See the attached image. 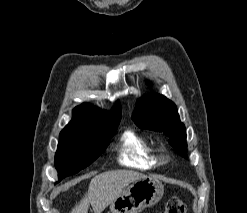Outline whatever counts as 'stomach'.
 <instances>
[{
	"mask_svg": "<svg viewBox=\"0 0 247 213\" xmlns=\"http://www.w3.org/2000/svg\"><path fill=\"white\" fill-rule=\"evenodd\" d=\"M164 194L163 184L156 178L145 177L126 186L111 203V213H140L157 204Z\"/></svg>",
	"mask_w": 247,
	"mask_h": 213,
	"instance_id": "0dacf381",
	"label": "stomach"
}]
</instances>
